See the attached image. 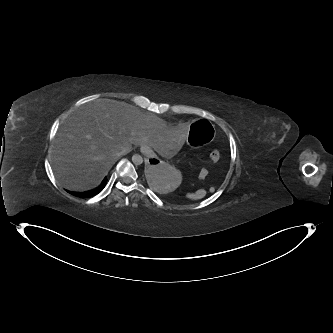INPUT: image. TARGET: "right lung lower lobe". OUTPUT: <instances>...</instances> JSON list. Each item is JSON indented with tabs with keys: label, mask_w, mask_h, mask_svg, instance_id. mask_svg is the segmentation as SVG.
<instances>
[{
	"label": "right lung lower lobe",
	"mask_w": 333,
	"mask_h": 333,
	"mask_svg": "<svg viewBox=\"0 0 333 333\" xmlns=\"http://www.w3.org/2000/svg\"><path fill=\"white\" fill-rule=\"evenodd\" d=\"M106 183H107V178H105L102 181L101 185L98 186L95 189H92V190H89V191H86V192H81V193H73V194L77 197H80V198L92 197V196H95L98 193H100L103 190V188L105 187Z\"/></svg>",
	"instance_id": "1"
}]
</instances>
